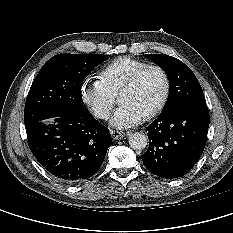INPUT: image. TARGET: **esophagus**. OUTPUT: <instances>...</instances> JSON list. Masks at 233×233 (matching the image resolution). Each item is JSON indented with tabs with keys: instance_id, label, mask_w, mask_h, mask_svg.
I'll list each match as a JSON object with an SVG mask.
<instances>
[{
	"instance_id": "esophagus-1",
	"label": "esophagus",
	"mask_w": 233,
	"mask_h": 233,
	"mask_svg": "<svg viewBox=\"0 0 233 233\" xmlns=\"http://www.w3.org/2000/svg\"><path fill=\"white\" fill-rule=\"evenodd\" d=\"M111 136L115 140H119L124 138L127 134L122 131L110 130Z\"/></svg>"
}]
</instances>
